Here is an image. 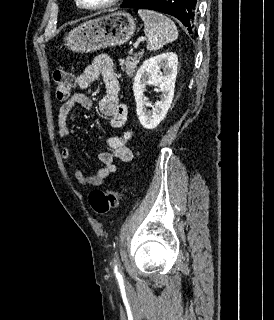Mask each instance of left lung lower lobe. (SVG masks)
<instances>
[{
  "label": "left lung lower lobe",
  "mask_w": 274,
  "mask_h": 320,
  "mask_svg": "<svg viewBox=\"0 0 274 320\" xmlns=\"http://www.w3.org/2000/svg\"><path fill=\"white\" fill-rule=\"evenodd\" d=\"M197 0H127L121 7L150 9L178 18L189 32L194 27Z\"/></svg>",
  "instance_id": "obj_1"
}]
</instances>
